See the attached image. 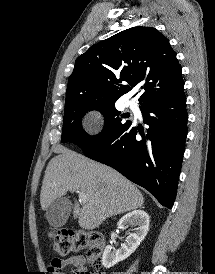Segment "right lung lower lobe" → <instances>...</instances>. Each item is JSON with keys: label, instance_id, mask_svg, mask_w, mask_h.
Wrapping results in <instances>:
<instances>
[{"label": "right lung lower lobe", "instance_id": "1", "mask_svg": "<svg viewBox=\"0 0 215 274\" xmlns=\"http://www.w3.org/2000/svg\"><path fill=\"white\" fill-rule=\"evenodd\" d=\"M147 133L133 123L107 141L83 152L119 171L172 208L187 136L184 91L173 97L154 98L141 105Z\"/></svg>", "mask_w": 215, "mask_h": 274}]
</instances>
